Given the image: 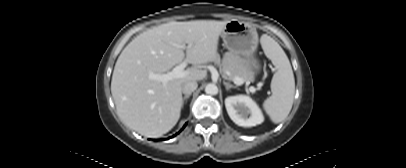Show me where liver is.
<instances>
[{
    "label": "liver",
    "instance_id": "liver-1",
    "mask_svg": "<svg viewBox=\"0 0 406 168\" xmlns=\"http://www.w3.org/2000/svg\"><path fill=\"white\" fill-rule=\"evenodd\" d=\"M228 21L169 22L134 38L119 55L111 81V93L119 118L138 133L157 138L178 122L182 108V85L200 81L205 70H186L182 78L165 85L150 78L164 74L185 58L193 65L214 61L219 36Z\"/></svg>",
    "mask_w": 406,
    "mask_h": 168
}]
</instances>
